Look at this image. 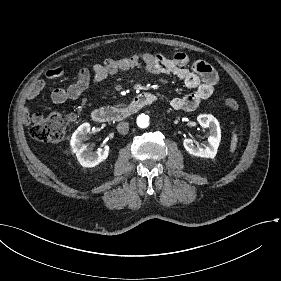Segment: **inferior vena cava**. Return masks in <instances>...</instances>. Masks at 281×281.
<instances>
[{
    "mask_svg": "<svg viewBox=\"0 0 281 281\" xmlns=\"http://www.w3.org/2000/svg\"><path fill=\"white\" fill-rule=\"evenodd\" d=\"M117 131L119 132V134L121 135H125L127 134L128 130H129V124L128 122H119L117 124Z\"/></svg>",
    "mask_w": 281,
    "mask_h": 281,
    "instance_id": "obj_1",
    "label": "inferior vena cava"
}]
</instances>
